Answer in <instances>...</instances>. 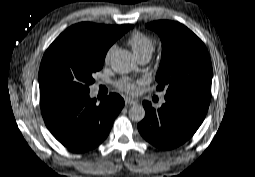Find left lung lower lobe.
Returning <instances> with one entry per match:
<instances>
[{
    "mask_svg": "<svg viewBox=\"0 0 255 177\" xmlns=\"http://www.w3.org/2000/svg\"><path fill=\"white\" fill-rule=\"evenodd\" d=\"M166 103L155 109L143 102L145 118L138 124L141 135L160 149H172L186 142L199 128L207 113L211 94L188 92L165 96Z\"/></svg>",
    "mask_w": 255,
    "mask_h": 177,
    "instance_id": "obj_1",
    "label": "left lung lower lobe"
}]
</instances>
